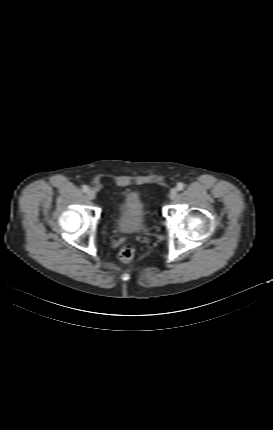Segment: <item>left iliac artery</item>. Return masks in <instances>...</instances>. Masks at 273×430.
Masks as SVG:
<instances>
[{
    "mask_svg": "<svg viewBox=\"0 0 273 430\" xmlns=\"http://www.w3.org/2000/svg\"><path fill=\"white\" fill-rule=\"evenodd\" d=\"M184 186H185V184H184V183H182V182L178 183V184H177V190H178V191L183 190V189H184Z\"/></svg>",
    "mask_w": 273,
    "mask_h": 430,
    "instance_id": "left-iliac-artery-1",
    "label": "left iliac artery"
}]
</instances>
